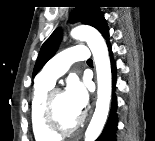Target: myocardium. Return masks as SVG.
Instances as JSON below:
<instances>
[{
	"instance_id": "myocardium-1",
	"label": "myocardium",
	"mask_w": 155,
	"mask_h": 141,
	"mask_svg": "<svg viewBox=\"0 0 155 141\" xmlns=\"http://www.w3.org/2000/svg\"><path fill=\"white\" fill-rule=\"evenodd\" d=\"M60 93H62L61 89L52 88L47 92L46 96L44 97L42 106L43 123L46 126V128L54 134L57 135L72 134L76 132L83 125L84 117L79 116L77 122L70 127L62 126L57 120L54 112V98L56 95Z\"/></svg>"
}]
</instances>
